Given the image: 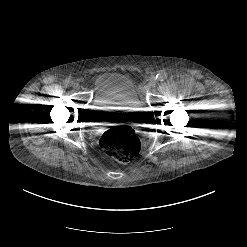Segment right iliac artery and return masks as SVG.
<instances>
[{
  "mask_svg": "<svg viewBox=\"0 0 247 247\" xmlns=\"http://www.w3.org/2000/svg\"><path fill=\"white\" fill-rule=\"evenodd\" d=\"M72 85H73V82H72L71 80L66 79V80L64 81V86H65V87H71Z\"/></svg>",
  "mask_w": 247,
  "mask_h": 247,
  "instance_id": "obj_1",
  "label": "right iliac artery"
}]
</instances>
